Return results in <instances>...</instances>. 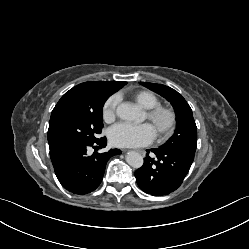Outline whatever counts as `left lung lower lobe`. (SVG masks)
<instances>
[{
    "instance_id": "obj_1",
    "label": "left lung lower lobe",
    "mask_w": 249,
    "mask_h": 249,
    "mask_svg": "<svg viewBox=\"0 0 249 249\" xmlns=\"http://www.w3.org/2000/svg\"><path fill=\"white\" fill-rule=\"evenodd\" d=\"M150 151L156 155V158L148 155ZM194 154L161 148L147 150L143 166L135 172L138 186L153 196L167 195L175 191L187 175Z\"/></svg>"
}]
</instances>
